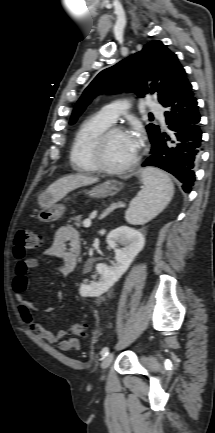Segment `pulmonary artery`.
Returning <instances> with one entry per match:
<instances>
[{
	"label": "pulmonary artery",
	"instance_id": "1",
	"mask_svg": "<svg viewBox=\"0 0 215 433\" xmlns=\"http://www.w3.org/2000/svg\"><path fill=\"white\" fill-rule=\"evenodd\" d=\"M148 108L151 112L155 113L162 123H164V116L160 113L161 107L154 101H149ZM128 109V105L125 101H117L105 105L101 110L100 114L102 117L107 119L109 122L114 123L116 119Z\"/></svg>",
	"mask_w": 215,
	"mask_h": 433
}]
</instances>
